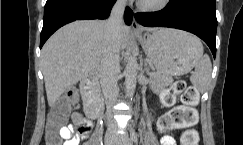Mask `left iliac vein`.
<instances>
[{
  "label": "left iliac vein",
  "instance_id": "4c4485c4",
  "mask_svg": "<svg viewBox=\"0 0 243 145\" xmlns=\"http://www.w3.org/2000/svg\"><path fill=\"white\" fill-rule=\"evenodd\" d=\"M116 145H132V141L127 135H124L116 140Z\"/></svg>",
  "mask_w": 243,
  "mask_h": 145
}]
</instances>
